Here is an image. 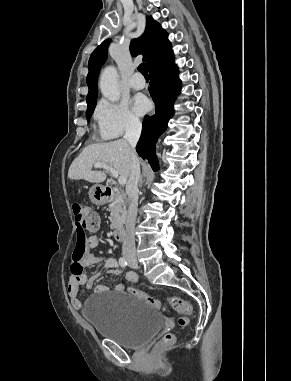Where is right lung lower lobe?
<instances>
[{"mask_svg":"<svg viewBox=\"0 0 291 381\" xmlns=\"http://www.w3.org/2000/svg\"><path fill=\"white\" fill-rule=\"evenodd\" d=\"M150 95L156 104V113L146 115L143 121L142 134L136 151L147 159L154 171L158 169L155 144L159 136L166 130L169 119L174 115L173 103L180 91L178 68L174 64L173 53L149 69Z\"/></svg>","mask_w":291,"mask_h":381,"instance_id":"right-lung-lower-lobe-1","label":"right lung lower lobe"}]
</instances>
